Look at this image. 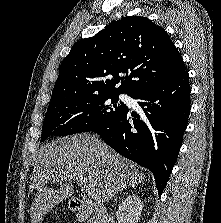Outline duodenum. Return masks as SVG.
I'll return each mask as SVG.
<instances>
[{
	"instance_id": "obj_1",
	"label": "duodenum",
	"mask_w": 221,
	"mask_h": 223,
	"mask_svg": "<svg viewBox=\"0 0 221 223\" xmlns=\"http://www.w3.org/2000/svg\"><path fill=\"white\" fill-rule=\"evenodd\" d=\"M70 208L79 221L92 219L95 223H110L108 209L103 205L88 200L72 199Z\"/></svg>"
}]
</instances>
